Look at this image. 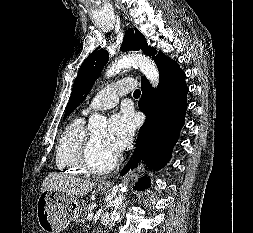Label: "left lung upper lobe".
<instances>
[{
    "mask_svg": "<svg viewBox=\"0 0 253 233\" xmlns=\"http://www.w3.org/2000/svg\"><path fill=\"white\" fill-rule=\"evenodd\" d=\"M140 49L143 50L146 55L153 56L152 58L155 59L154 55L157 51L154 48L148 47L144 35L139 32L138 29L135 28V30H133L130 28L125 33L121 51H137ZM108 59V51L101 49L93 51L82 63L73 85L64 119L85 99L96 78L108 62Z\"/></svg>",
    "mask_w": 253,
    "mask_h": 233,
    "instance_id": "obj_1",
    "label": "left lung upper lobe"
}]
</instances>
